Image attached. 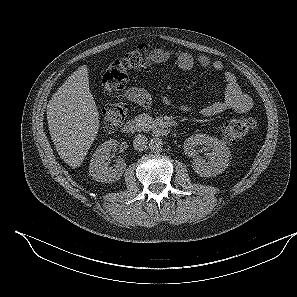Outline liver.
<instances>
[{"instance_id": "6515ba94", "label": "liver", "mask_w": 297, "mask_h": 297, "mask_svg": "<svg viewBox=\"0 0 297 297\" xmlns=\"http://www.w3.org/2000/svg\"><path fill=\"white\" fill-rule=\"evenodd\" d=\"M51 139L72 168L85 159L99 130V113L89 88L88 68L80 66L53 94L47 105Z\"/></svg>"}]
</instances>
